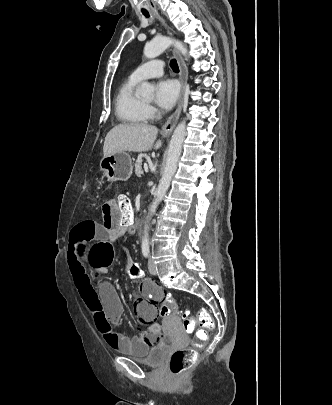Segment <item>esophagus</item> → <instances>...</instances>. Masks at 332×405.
<instances>
[{
    "mask_svg": "<svg viewBox=\"0 0 332 405\" xmlns=\"http://www.w3.org/2000/svg\"><path fill=\"white\" fill-rule=\"evenodd\" d=\"M154 15L160 20L162 25L166 27L167 32L171 35L172 33L170 32L167 25L165 24L164 19L159 16L157 11H154ZM173 54H174L175 58L177 59V62H178L179 68H180L181 93H180V97H179V101H178V106H177L175 112L168 118V120L165 122V124L162 127L161 133L163 135L170 134L179 119L181 109H182L185 87H186V83H187V69H186L185 63L183 61V58L176 49H173Z\"/></svg>",
    "mask_w": 332,
    "mask_h": 405,
    "instance_id": "1",
    "label": "esophagus"
}]
</instances>
